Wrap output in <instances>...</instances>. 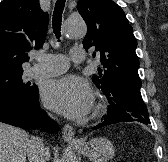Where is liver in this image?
<instances>
[{
    "label": "liver",
    "instance_id": "6515ba94",
    "mask_svg": "<svg viewBox=\"0 0 168 162\" xmlns=\"http://www.w3.org/2000/svg\"><path fill=\"white\" fill-rule=\"evenodd\" d=\"M29 142L24 130L0 122V162H26Z\"/></svg>",
    "mask_w": 168,
    "mask_h": 162
}]
</instances>
